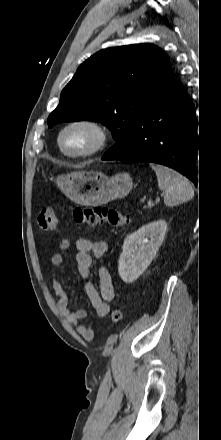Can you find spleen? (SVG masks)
Instances as JSON below:
<instances>
[{
	"mask_svg": "<svg viewBox=\"0 0 221 440\" xmlns=\"http://www.w3.org/2000/svg\"><path fill=\"white\" fill-rule=\"evenodd\" d=\"M150 166L156 173L159 189L165 192L164 203L167 206L179 205L193 198L194 190L187 178L162 165Z\"/></svg>",
	"mask_w": 221,
	"mask_h": 440,
	"instance_id": "obj_1",
	"label": "spleen"
}]
</instances>
